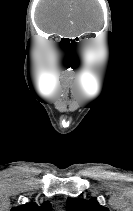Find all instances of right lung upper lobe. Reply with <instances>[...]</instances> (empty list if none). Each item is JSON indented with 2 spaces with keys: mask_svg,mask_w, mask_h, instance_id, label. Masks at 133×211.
Segmentation results:
<instances>
[{
  "mask_svg": "<svg viewBox=\"0 0 133 211\" xmlns=\"http://www.w3.org/2000/svg\"><path fill=\"white\" fill-rule=\"evenodd\" d=\"M11 211H51V205L49 202H45L41 206H38L34 202H31L29 204L12 208Z\"/></svg>",
  "mask_w": 133,
  "mask_h": 211,
  "instance_id": "right-lung-upper-lobe-1",
  "label": "right lung upper lobe"
}]
</instances>
